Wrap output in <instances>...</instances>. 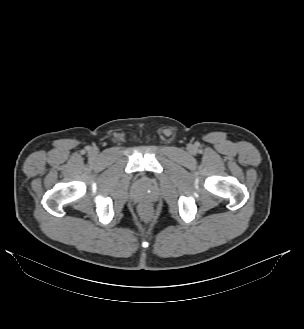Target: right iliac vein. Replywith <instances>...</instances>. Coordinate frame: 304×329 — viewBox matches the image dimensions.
Wrapping results in <instances>:
<instances>
[{
	"label": "right iliac vein",
	"instance_id": "63e3f726",
	"mask_svg": "<svg viewBox=\"0 0 304 329\" xmlns=\"http://www.w3.org/2000/svg\"><path fill=\"white\" fill-rule=\"evenodd\" d=\"M98 154V149L97 148H92L91 150H90V155L91 156H96Z\"/></svg>",
	"mask_w": 304,
	"mask_h": 329
}]
</instances>
